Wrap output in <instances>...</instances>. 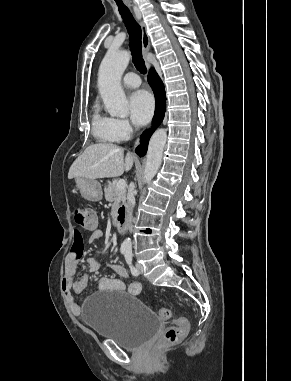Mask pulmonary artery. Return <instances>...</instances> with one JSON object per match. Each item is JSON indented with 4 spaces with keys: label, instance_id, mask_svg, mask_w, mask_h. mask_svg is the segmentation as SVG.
Returning <instances> with one entry per match:
<instances>
[{
    "label": "pulmonary artery",
    "instance_id": "1",
    "mask_svg": "<svg viewBox=\"0 0 291 381\" xmlns=\"http://www.w3.org/2000/svg\"><path fill=\"white\" fill-rule=\"evenodd\" d=\"M122 81L123 84L128 88H136L141 84L139 76L133 72L125 74Z\"/></svg>",
    "mask_w": 291,
    "mask_h": 381
}]
</instances>
